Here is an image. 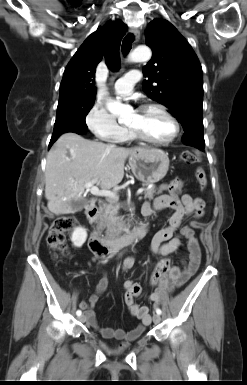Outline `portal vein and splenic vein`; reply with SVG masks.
Wrapping results in <instances>:
<instances>
[{
    "label": "portal vein and splenic vein",
    "mask_w": 247,
    "mask_h": 385,
    "mask_svg": "<svg viewBox=\"0 0 247 385\" xmlns=\"http://www.w3.org/2000/svg\"><path fill=\"white\" fill-rule=\"evenodd\" d=\"M96 182H97V179H94V180H92L90 182L85 183L84 187L87 190H89L93 195L105 196V197H109V198H113V199H118L116 193L113 192V191H110V190H107V189L99 190L98 187L94 186V184ZM143 191H144L143 188L138 189L137 195L142 194Z\"/></svg>",
    "instance_id": "18ae733b"
}]
</instances>
